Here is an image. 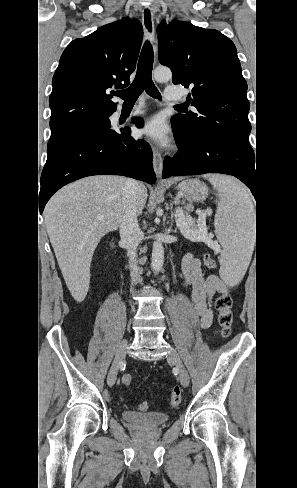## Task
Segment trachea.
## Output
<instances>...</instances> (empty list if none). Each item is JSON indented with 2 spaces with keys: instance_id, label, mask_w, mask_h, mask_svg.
<instances>
[{
  "instance_id": "trachea-1",
  "label": "trachea",
  "mask_w": 297,
  "mask_h": 488,
  "mask_svg": "<svg viewBox=\"0 0 297 488\" xmlns=\"http://www.w3.org/2000/svg\"><path fill=\"white\" fill-rule=\"evenodd\" d=\"M153 61L152 45L149 41H146L142 47L133 83L127 89L116 93L117 96L124 100V104H134L144 90L151 97L161 99V95L152 81ZM175 107L182 108V105H176Z\"/></svg>"
}]
</instances>
